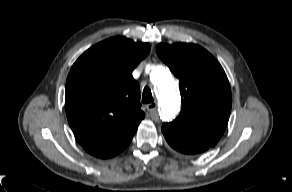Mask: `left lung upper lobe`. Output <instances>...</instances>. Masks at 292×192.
I'll return each mask as SVG.
<instances>
[{
    "label": "left lung upper lobe",
    "instance_id": "1",
    "mask_svg": "<svg viewBox=\"0 0 292 192\" xmlns=\"http://www.w3.org/2000/svg\"><path fill=\"white\" fill-rule=\"evenodd\" d=\"M157 54L179 79L182 99L179 116L165 123L162 132L214 146L227 127L232 104L223 68L208 51L191 43H160Z\"/></svg>",
    "mask_w": 292,
    "mask_h": 192
}]
</instances>
